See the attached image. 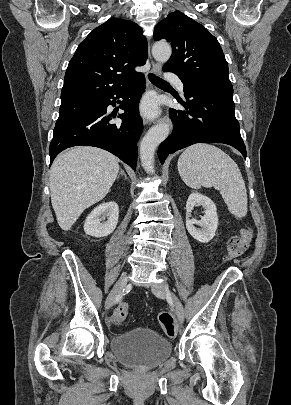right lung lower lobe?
Masks as SVG:
<instances>
[{"label": "right lung lower lobe", "mask_w": 291, "mask_h": 405, "mask_svg": "<svg viewBox=\"0 0 291 405\" xmlns=\"http://www.w3.org/2000/svg\"><path fill=\"white\" fill-rule=\"evenodd\" d=\"M144 89L145 79L140 73L128 84L99 98V106L94 110L56 125L49 147L50 164L57 154L66 148L95 146L113 153L135 169L137 142L143 131L138 103ZM117 98H124L120 108L125 112L118 115L122 122L113 124L110 121L116 114L106 112L109 105H115Z\"/></svg>", "instance_id": "obj_1"}]
</instances>
